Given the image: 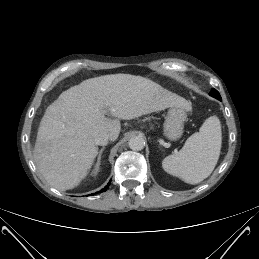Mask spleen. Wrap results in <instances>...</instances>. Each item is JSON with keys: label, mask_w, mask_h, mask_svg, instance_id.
Here are the masks:
<instances>
[{"label": "spleen", "mask_w": 259, "mask_h": 259, "mask_svg": "<svg viewBox=\"0 0 259 259\" xmlns=\"http://www.w3.org/2000/svg\"><path fill=\"white\" fill-rule=\"evenodd\" d=\"M222 144L221 124L217 116L205 120L199 132L192 134L182 149L167 156L163 169L186 183L198 184L213 172Z\"/></svg>", "instance_id": "spleen-1"}]
</instances>
